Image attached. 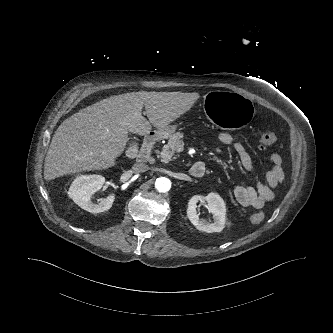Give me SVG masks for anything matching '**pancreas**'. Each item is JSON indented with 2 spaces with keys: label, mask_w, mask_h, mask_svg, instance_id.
I'll list each match as a JSON object with an SVG mask.
<instances>
[{
  "label": "pancreas",
  "mask_w": 333,
  "mask_h": 333,
  "mask_svg": "<svg viewBox=\"0 0 333 333\" xmlns=\"http://www.w3.org/2000/svg\"><path fill=\"white\" fill-rule=\"evenodd\" d=\"M183 134L180 132L170 136L168 143L163 147L160 158L164 163L170 162L174 157L177 149L182 145Z\"/></svg>",
  "instance_id": "pancreas-1"
}]
</instances>
